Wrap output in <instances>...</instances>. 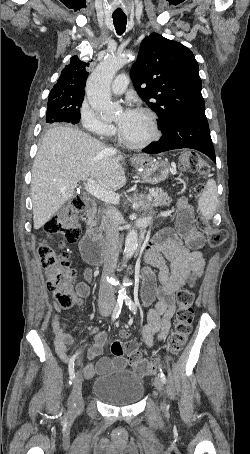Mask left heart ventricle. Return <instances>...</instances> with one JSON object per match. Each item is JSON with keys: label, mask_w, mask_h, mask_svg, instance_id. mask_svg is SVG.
Segmentation results:
<instances>
[{"label": "left heart ventricle", "mask_w": 250, "mask_h": 454, "mask_svg": "<svg viewBox=\"0 0 250 454\" xmlns=\"http://www.w3.org/2000/svg\"><path fill=\"white\" fill-rule=\"evenodd\" d=\"M123 136L131 142H141L148 138L151 133V125L148 118L135 111L128 119L124 120L123 113L116 119Z\"/></svg>", "instance_id": "1"}]
</instances>
